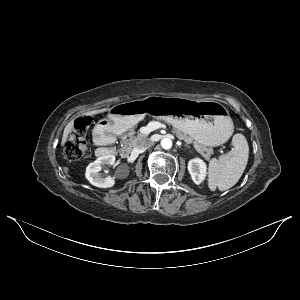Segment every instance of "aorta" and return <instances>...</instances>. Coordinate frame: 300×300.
<instances>
[{"instance_id":"obj_1","label":"aorta","mask_w":300,"mask_h":300,"mask_svg":"<svg viewBox=\"0 0 300 300\" xmlns=\"http://www.w3.org/2000/svg\"><path fill=\"white\" fill-rule=\"evenodd\" d=\"M160 144L163 149L168 150L172 147V140L170 138H163Z\"/></svg>"}]
</instances>
